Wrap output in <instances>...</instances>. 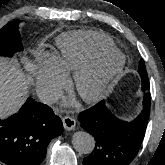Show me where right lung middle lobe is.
Instances as JSON below:
<instances>
[{
  "label": "right lung middle lobe",
  "instance_id": "right-lung-middle-lobe-1",
  "mask_svg": "<svg viewBox=\"0 0 165 165\" xmlns=\"http://www.w3.org/2000/svg\"><path fill=\"white\" fill-rule=\"evenodd\" d=\"M19 22H11L0 30V56L11 57L15 52L23 49L18 31Z\"/></svg>",
  "mask_w": 165,
  "mask_h": 165
}]
</instances>
